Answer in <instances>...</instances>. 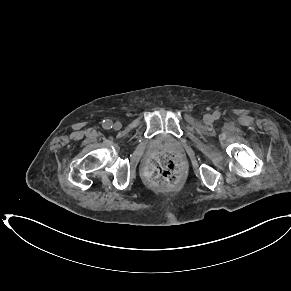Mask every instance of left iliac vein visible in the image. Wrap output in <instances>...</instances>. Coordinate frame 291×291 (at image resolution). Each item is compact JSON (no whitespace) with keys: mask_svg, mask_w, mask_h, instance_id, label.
<instances>
[{"mask_svg":"<svg viewBox=\"0 0 291 291\" xmlns=\"http://www.w3.org/2000/svg\"><path fill=\"white\" fill-rule=\"evenodd\" d=\"M203 120L206 124H210L213 122V117L210 114H206L204 116Z\"/></svg>","mask_w":291,"mask_h":291,"instance_id":"left-iliac-vein-1","label":"left iliac vein"}]
</instances>
